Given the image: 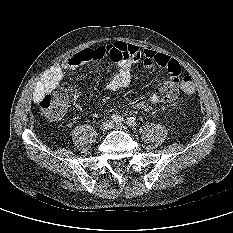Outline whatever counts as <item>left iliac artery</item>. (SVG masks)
I'll return each instance as SVG.
<instances>
[{"instance_id": "44dca946", "label": "left iliac artery", "mask_w": 233, "mask_h": 233, "mask_svg": "<svg viewBox=\"0 0 233 233\" xmlns=\"http://www.w3.org/2000/svg\"><path fill=\"white\" fill-rule=\"evenodd\" d=\"M129 126H134L136 124V118L135 117H129L126 122Z\"/></svg>"}]
</instances>
